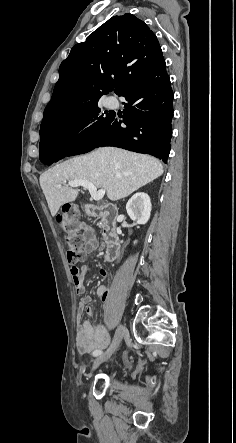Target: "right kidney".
Returning <instances> with one entry per match:
<instances>
[{
  "label": "right kidney",
  "mask_w": 236,
  "mask_h": 443,
  "mask_svg": "<svg viewBox=\"0 0 236 443\" xmlns=\"http://www.w3.org/2000/svg\"><path fill=\"white\" fill-rule=\"evenodd\" d=\"M151 201L148 194L139 192L134 194L126 204L129 217L138 224H146L150 218ZM136 243V241L134 242Z\"/></svg>",
  "instance_id": "obj_1"
}]
</instances>
